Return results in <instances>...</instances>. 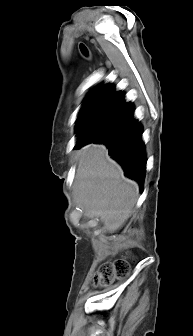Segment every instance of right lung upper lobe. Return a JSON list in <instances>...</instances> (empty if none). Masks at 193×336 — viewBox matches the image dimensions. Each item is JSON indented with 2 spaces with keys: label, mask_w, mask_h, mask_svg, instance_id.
Segmentation results:
<instances>
[{
  "label": "right lung upper lobe",
  "mask_w": 193,
  "mask_h": 336,
  "mask_svg": "<svg viewBox=\"0 0 193 336\" xmlns=\"http://www.w3.org/2000/svg\"><path fill=\"white\" fill-rule=\"evenodd\" d=\"M122 98L123 95L120 94V92H115L114 88L108 84L97 86L86 97L77 119L78 124L85 121H92L99 117L104 111L114 109ZM86 141L88 140L79 137L77 143Z\"/></svg>",
  "instance_id": "obj_1"
}]
</instances>
